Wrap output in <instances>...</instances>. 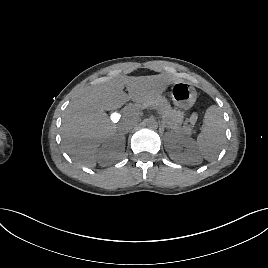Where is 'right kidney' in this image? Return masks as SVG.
<instances>
[{"label":"right kidney","instance_id":"obj_1","mask_svg":"<svg viewBox=\"0 0 268 268\" xmlns=\"http://www.w3.org/2000/svg\"><path fill=\"white\" fill-rule=\"evenodd\" d=\"M125 150V137L115 135L106 140L101 148L97 151L96 157L100 166H108L120 160Z\"/></svg>","mask_w":268,"mask_h":268}]
</instances>
